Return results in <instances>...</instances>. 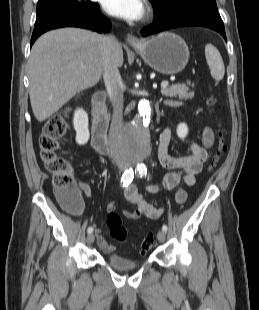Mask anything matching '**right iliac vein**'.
Segmentation results:
<instances>
[{"instance_id": "1", "label": "right iliac vein", "mask_w": 259, "mask_h": 310, "mask_svg": "<svg viewBox=\"0 0 259 310\" xmlns=\"http://www.w3.org/2000/svg\"><path fill=\"white\" fill-rule=\"evenodd\" d=\"M120 169H121V170H124L125 167L120 166ZM94 240H95L94 234L89 233L88 236H87V243H88V244H92V243L94 242Z\"/></svg>"}]
</instances>
